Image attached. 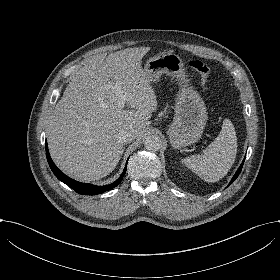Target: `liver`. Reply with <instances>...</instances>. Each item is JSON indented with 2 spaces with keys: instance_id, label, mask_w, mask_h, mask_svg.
I'll return each mask as SVG.
<instances>
[{
  "instance_id": "liver-1",
  "label": "liver",
  "mask_w": 280,
  "mask_h": 280,
  "mask_svg": "<svg viewBox=\"0 0 280 280\" xmlns=\"http://www.w3.org/2000/svg\"><path fill=\"white\" fill-rule=\"evenodd\" d=\"M149 50L126 48L105 61L94 56L72 77L53 111L49 139L55 164L68 176L82 182L107 176L124 152L119 131L141 139L158 106L141 66Z\"/></svg>"
}]
</instances>
